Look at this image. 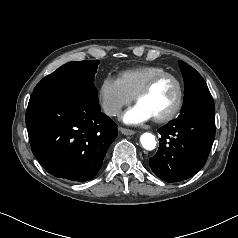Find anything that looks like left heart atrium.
I'll return each mask as SVG.
<instances>
[{"label": "left heart atrium", "instance_id": "1", "mask_svg": "<svg viewBox=\"0 0 238 238\" xmlns=\"http://www.w3.org/2000/svg\"><path fill=\"white\" fill-rule=\"evenodd\" d=\"M152 118L151 114L139 104L131 107L123 115V121L127 124H140Z\"/></svg>", "mask_w": 238, "mask_h": 238}]
</instances>
